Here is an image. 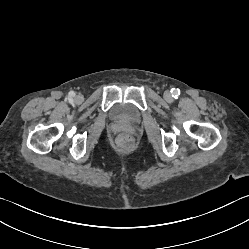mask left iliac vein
Wrapping results in <instances>:
<instances>
[{"instance_id": "obj_1", "label": "left iliac vein", "mask_w": 249, "mask_h": 249, "mask_svg": "<svg viewBox=\"0 0 249 249\" xmlns=\"http://www.w3.org/2000/svg\"><path fill=\"white\" fill-rule=\"evenodd\" d=\"M164 99H165L166 101H168V102H171V101L173 100L172 95H171V93H170L169 91H166V92L164 93Z\"/></svg>"}]
</instances>
